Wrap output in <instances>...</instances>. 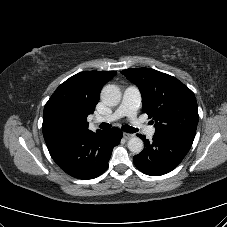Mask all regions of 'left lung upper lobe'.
I'll return each mask as SVG.
<instances>
[{
	"label": "left lung upper lobe",
	"mask_w": 227,
	"mask_h": 227,
	"mask_svg": "<svg viewBox=\"0 0 227 227\" xmlns=\"http://www.w3.org/2000/svg\"><path fill=\"white\" fill-rule=\"evenodd\" d=\"M121 73L140 89L142 109L155 121L156 132L194 140L199 116L196 98L187 86L150 68L126 69Z\"/></svg>",
	"instance_id": "left-lung-upper-lobe-1"
}]
</instances>
